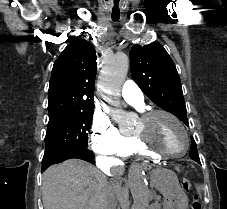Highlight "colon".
I'll list each match as a JSON object with an SVG mask.
<instances>
[{
  "label": "colon",
  "instance_id": "5ec220e1",
  "mask_svg": "<svg viewBox=\"0 0 227 209\" xmlns=\"http://www.w3.org/2000/svg\"><path fill=\"white\" fill-rule=\"evenodd\" d=\"M181 185L185 191L193 190L194 194H193V200L190 204V209H202L198 183L193 181L192 179L183 178L181 180Z\"/></svg>",
  "mask_w": 227,
  "mask_h": 209
}]
</instances>
